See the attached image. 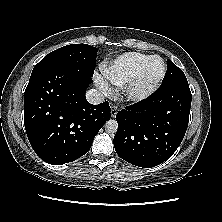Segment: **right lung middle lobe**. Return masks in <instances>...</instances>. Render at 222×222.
<instances>
[{
    "mask_svg": "<svg viewBox=\"0 0 222 222\" xmlns=\"http://www.w3.org/2000/svg\"><path fill=\"white\" fill-rule=\"evenodd\" d=\"M97 51V48L87 44L64 46L46 55L35 65L31 75L55 67L69 66L93 76Z\"/></svg>",
    "mask_w": 222,
    "mask_h": 222,
    "instance_id": "dd1d6c3e",
    "label": "right lung middle lobe"
}]
</instances>
